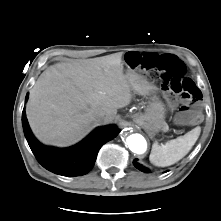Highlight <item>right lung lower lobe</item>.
Here are the masks:
<instances>
[{
	"mask_svg": "<svg viewBox=\"0 0 221 221\" xmlns=\"http://www.w3.org/2000/svg\"><path fill=\"white\" fill-rule=\"evenodd\" d=\"M22 125L28 144L38 162L47 170L63 176H81L88 173L93 168L102 145L115 138L120 131L115 125L99 127L72 147L54 148L42 145L34 137L25 109L22 112Z\"/></svg>",
	"mask_w": 221,
	"mask_h": 221,
	"instance_id": "1",
	"label": "right lung lower lobe"
}]
</instances>
